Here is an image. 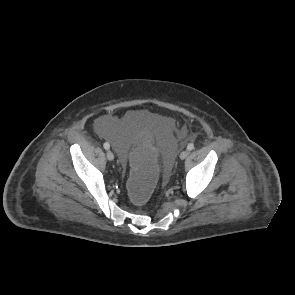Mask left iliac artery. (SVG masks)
I'll list each match as a JSON object with an SVG mask.
<instances>
[{"instance_id":"1","label":"left iliac artery","mask_w":295,"mask_h":295,"mask_svg":"<svg viewBox=\"0 0 295 295\" xmlns=\"http://www.w3.org/2000/svg\"><path fill=\"white\" fill-rule=\"evenodd\" d=\"M193 149H194V144L189 143L188 146H187V150L191 151Z\"/></svg>"}]
</instances>
